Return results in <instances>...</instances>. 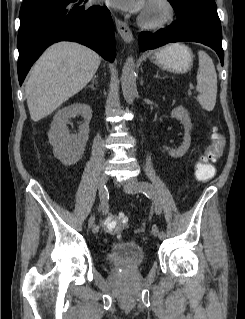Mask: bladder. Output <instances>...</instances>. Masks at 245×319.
I'll list each match as a JSON object with an SVG mask.
<instances>
[{
  "label": "bladder",
  "instance_id": "1",
  "mask_svg": "<svg viewBox=\"0 0 245 319\" xmlns=\"http://www.w3.org/2000/svg\"><path fill=\"white\" fill-rule=\"evenodd\" d=\"M106 258L113 265L137 266L144 261V250L135 242L119 241L112 244Z\"/></svg>",
  "mask_w": 245,
  "mask_h": 319
}]
</instances>
